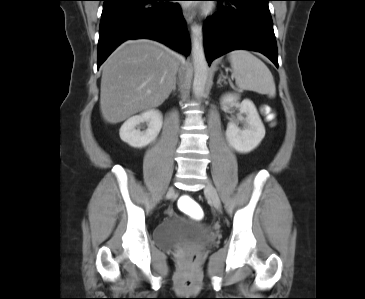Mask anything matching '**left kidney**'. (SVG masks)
Wrapping results in <instances>:
<instances>
[{"mask_svg": "<svg viewBox=\"0 0 365 299\" xmlns=\"http://www.w3.org/2000/svg\"><path fill=\"white\" fill-rule=\"evenodd\" d=\"M239 97L233 94L225 95L222 104L226 107L237 106L240 113L245 114L246 127L240 129L235 122H230L226 130V138L237 152L248 153L254 150L265 136V128L252 101L244 99L238 102Z\"/></svg>", "mask_w": 365, "mask_h": 299, "instance_id": "obj_1", "label": "left kidney"}]
</instances>
